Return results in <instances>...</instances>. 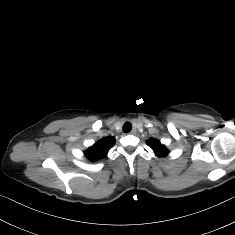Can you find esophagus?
<instances>
[{"instance_id":"obj_1","label":"esophagus","mask_w":235,"mask_h":235,"mask_svg":"<svg viewBox=\"0 0 235 235\" xmlns=\"http://www.w3.org/2000/svg\"><path fill=\"white\" fill-rule=\"evenodd\" d=\"M136 133H137L136 128H133V129L131 130V132H130V134H132V135H135Z\"/></svg>"}]
</instances>
